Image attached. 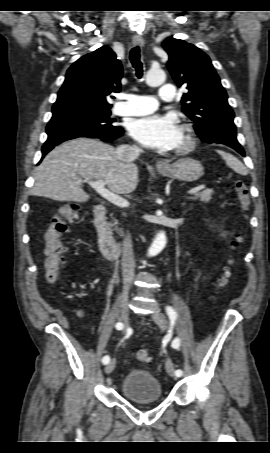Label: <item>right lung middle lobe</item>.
<instances>
[{"instance_id":"dd1d6c3e","label":"right lung middle lobe","mask_w":270,"mask_h":453,"mask_svg":"<svg viewBox=\"0 0 270 453\" xmlns=\"http://www.w3.org/2000/svg\"><path fill=\"white\" fill-rule=\"evenodd\" d=\"M110 110L87 111L73 115L52 118L49 124H77L94 128L112 129L115 119L110 118Z\"/></svg>"}]
</instances>
